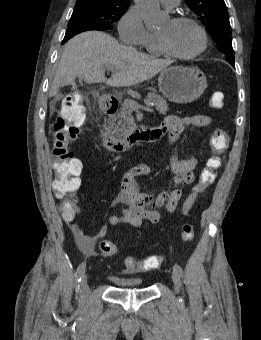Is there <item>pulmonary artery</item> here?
Returning a JSON list of instances; mask_svg holds the SVG:
<instances>
[{"instance_id": "obj_1", "label": "pulmonary artery", "mask_w": 261, "mask_h": 340, "mask_svg": "<svg viewBox=\"0 0 261 340\" xmlns=\"http://www.w3.org/2000/svg\"><path fill=\"white\" fill-rule=\"evenodd\" d=\"M160 2L163 6L175 8L176 6L179 5L180 0H160Z\"/></svg>"}]
</instances>
